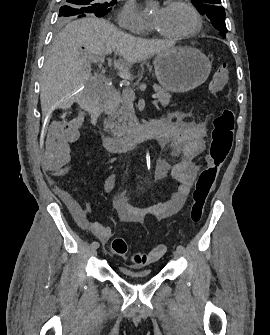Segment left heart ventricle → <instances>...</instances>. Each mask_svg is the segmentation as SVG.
<instances>
[{"instance_id":"obj_1","label":"left heart ventricle","mask_w":270,"mask_h":335,"mask_svg":"<svg viewBox=\"0 0 270 335\" xmlns=\"http://www.w3.org/2000/svg\"><path fill=\"white\" fill-rule=\"evenodd\" d=\"M161 17L159 30L167 35L190 31L195 25L192 13L185 6L158 8L152 15L153 20Z\"/></svg>"}]
</instances>
